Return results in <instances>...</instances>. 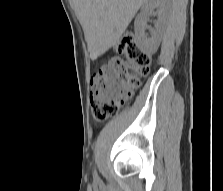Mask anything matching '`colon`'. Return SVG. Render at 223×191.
I'll use <instances>...</instances> for the list:
<instances>
[{
  "instance_id": "1",
  "label": "colon",
  "mask_w": 223,
  "mask_h": 191,
  "mask_svg": "<svg viewBox=\"0 0 223 191\" xmlns=\"http://www.w3.org/2000/svg\"><path fill=\"white\" fill-rule=\"evenodd\" d=\"M116 49L127 57L129 65L134 67L140 75L148 73L150 56L139 48L132 35L122 36L116 44ZM127 75L126 62L119 57H113L93 76L90 103L95 121H106L124 104L129 90L123 87L122 82ZM130 87L134 88L135 84L132 83Z\"/></svg>"
}]
</instances>
